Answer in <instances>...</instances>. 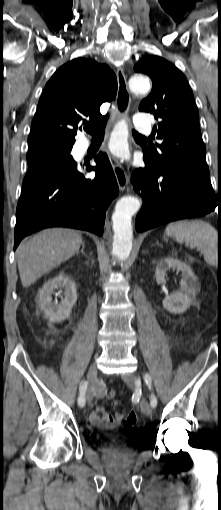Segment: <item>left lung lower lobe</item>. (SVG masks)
Wrapping results in <instances>:
<instances>
[{"instance_id":"left-lung-lower-lobe-1","label":"left lung lower lobe","mask_w":221,"mask_h":510,"mask_svg":"<svg viewBox=\"0 0 221 510\" xmlns=\"http://www.w3.org/2000/svg\"><path fill=\"white\" fill-rule=\"evenodd\" d=\"M145 168L132 174L135 191L143 197L136 217V230L186 218L201 217L218 207V233L221 237V193L215 195L210 178L179 170L156 169L145 150Z\"/></svg>"}]
</instances>
